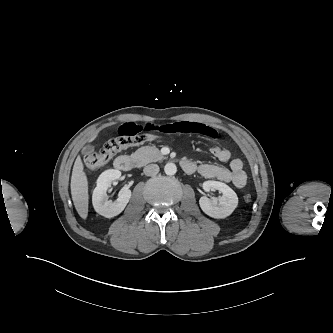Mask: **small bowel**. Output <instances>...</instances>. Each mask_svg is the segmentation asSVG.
<instances>
[{
  "mask_svg": "<svg viewBox=\"0 0 333 333\" xmlns=\"http://www.w3.org/2000/svg\"><path fill=\"white\" fill-rule=\"evenodd\" d=\"M121 136H135L143 131H160L165 134H199L211 139L217 138L213 128L198 122L178 121L164 125L124 123L119 127ZM211 154L220 162H230L228 168L215 164L197 165L191 161L193 169L188 173L198 172L205 178L217 179L226 183H233L237 188H243L247 183V174L240 159H232L228 149L213 146Z\"/></svg>",
  "mask_w": 333,
  "mask_h": 333,
  "instance_id": "obj_1",
  "label": "small bowel"
}]
</instances>
